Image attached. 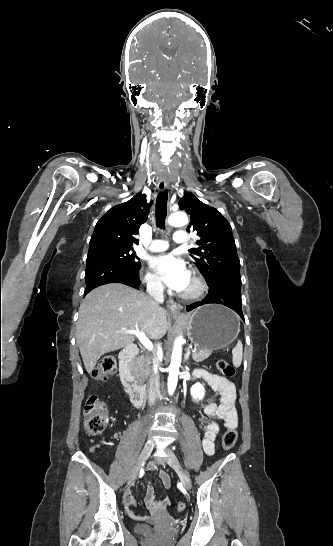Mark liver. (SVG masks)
I'll return each mask as SVG.
<instances>
[{
    "instance_id": "1",
    "label": "liver",
    "mask_w": 333,
    "mask_h": 546,
    "mask_svg": "<svg viewBox=\"0 0 333 546\" xmlns=\"http://www.w3.org/2000/svg\"><path fill=\"white\" fill-rule=\"evenodd\" d=\"M127 329L162 338L168 329L166 311L154 299L121 283L92 290L79 309L76 339L85 368L91 373L99 358L135 341Z\"/></svg>"
}]
</instances>
